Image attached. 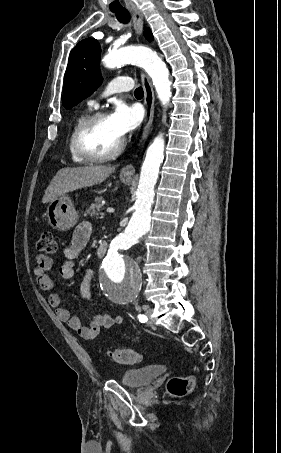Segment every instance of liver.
Instances as JSON below:
<instances>
[{"label":"liver","instance_id":"1","mask_svg":"<svg viewBox=\"0 0 281 453\" xmlns=\"http://www.w3.org/2000/svg\"><path fill=\"white\" fill-rule=\"evenodd\" d=\"M112 172H115V166H105V164L60 168L50 184H48L42 202H50L53 198H57V196H61L65 192L77 190V188L99 184Z\"/></svg>","mask_w":281,"mask_h":453}]
</instances>
